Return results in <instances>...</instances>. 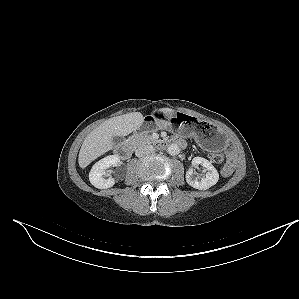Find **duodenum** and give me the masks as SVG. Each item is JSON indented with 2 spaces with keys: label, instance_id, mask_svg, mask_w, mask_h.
I'll use <instances>...</instances> for the list:
<instances>
[{
  "label": "duodenum",
  "instance_id": "obj_1",
  "mask_svg": "<svg viewBox=\"0 0 299 299\" xmlns=\"http://www.w3.org/2000/svg\"><path fill=\"white\" fill-rule=\"evenodd\" d=\"M170 143L167 142V141H160L158 142L157 144V147L158 148H165L169 145ZM173 144H176V145H179V146H182V142L180 140H174L173 141ZM132 152V145L130 143H122L120 144L117 148H116V153L119 157L121 158H127L130 156Z\"/></svg>",
  "mask_w": 299,
  "mask_h": 299
}]
</instances>
